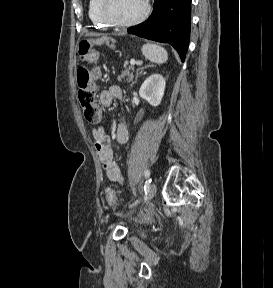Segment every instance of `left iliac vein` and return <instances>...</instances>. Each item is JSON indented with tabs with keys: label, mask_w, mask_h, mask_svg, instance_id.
Wrapping results in <instances>:
<instances>
[{
	"label": "left iliac vein",
	"mask_w": 273,
	"mask_h": 288,
	"mask_svg": "<svg viewBox=\"0 0 273 288\" xmlns=\"http://www.w3.org/2000/svg\"><path fill=\"white\" fill-rule=\"evenodd\" d=\"M156 190H157L156 185L155 184H151L149 189H148L147 194L144 197V200L142 201L141 206L147 204L154 197V195L156 193ZM134 211H135V208L129 210L128 212H126L124 214H121L119 218L122 219V218H124L125 216L131 214Z\"/></svg>",
	"instance_id": "1"
}]
</instances>
